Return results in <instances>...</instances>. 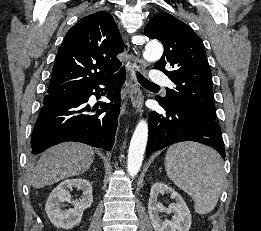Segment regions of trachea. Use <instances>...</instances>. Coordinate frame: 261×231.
Here are the masks:
<instances>
[{
	"instance_id": "3493384b",
	"label": "trachea",
	"mask_w": 261,
	"mask_h": 231,
	"mask_svg": "<svg viewBox=\"0 0 261 231\" xmlns=\"http://www.w3.org/2000/svg\"><path fill=\"white\" fill-rule=\"evenodd\" d=\"M136 76L138 81L145 86H154V87H158L156 84L152 83L151 81H149L148 79H146L142 74L136 72Z\"/></svg>"
}]
</instances>
